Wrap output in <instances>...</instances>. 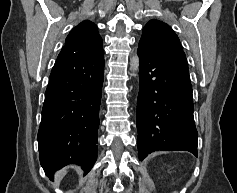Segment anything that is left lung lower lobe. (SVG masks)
<instances>
[{
    "label": "left lung lower lobe",
    "mask_w": 237,
    "mask_h": 193,
    "mask_svg": "<svg viewBox=\"0 0 237 193\" xmlns=\"http://www.w3.org/2000/svg\"><path fill=\"white\" fill-rule=\"evenodd\" d=\"M140 57L137 100L139 159L152 151H189L197 156L198 133L193 117L188 67L144 46Z\"/></svg>",
    "instance_id": "0a47b994"
}]
</instances>
